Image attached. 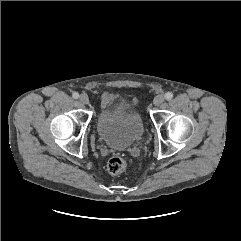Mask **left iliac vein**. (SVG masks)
Masks as SVG:
<instances>
[{"mask_svg":"<svg viewBox=\"0 0 241 241\" xmlns=\"http://www.w3.org/2000/svg\"><path fill=\"white\" fill-rule=\"evenodd\" d=\"M164 99H165L164 95L159 94V95L155 96V98L153 100V104L155 106H159V105H161L164 102Z\"/></svg>","mask_w":241,"mask_h":241,"instance_id":"left-iliac-vein-1","label":"left iliac vein"}]
</instances>
